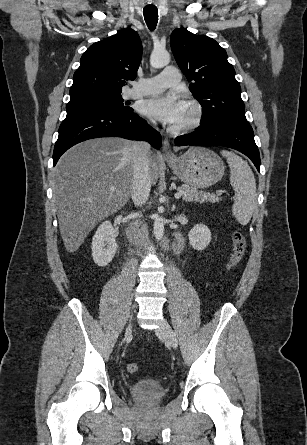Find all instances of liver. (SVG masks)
Listing matches in <instances>:
<instances>
[{
  "mask_svg": "<svg viewBox=\"0 0 307 445\" xmlns=\"http://www.w3.org/2000/svg\"><path fill=\"white\" fill-rule=\"evenodd\" d=\"M131 144L117 136L91 138L69 148L55 166L54 204L68 253L77 251L100 220L129 200L133 188ZM162 162L161 154L149 152L152 184L159 178Z\"/></svg>",
  "mask_w": 307,
  "mask_h": 445,
  "instance_id": "6515ba94",
  "label": "liver"
}]
</instances>
